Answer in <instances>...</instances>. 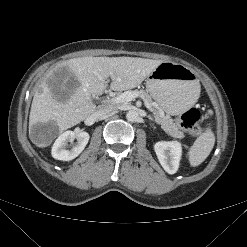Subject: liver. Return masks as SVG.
<instances>
[{
	"mask_svg": "<svg viewBox=\"0 0 247 247\" xmlns=\"http://www.w3.org/2000/svg\"><path fill=\"white\" fill-rule=\"evenodd\" d=\"M160 60L138 57H79L63 62L48 72L35 92L30 115V129L37 123L54 122L59 132L71 128L93 114L97 107L91 96L101 95L111 79L110 89H133L160 64ZM66 67L78 81L66 101L54 97L47 81L58 69ZM31 140L38 147L47 144Z\"/></svg>",
	"mask_w": 247,
	"mask_h": 247,
	"instance_id": "obj_1",
	"label": "liver"
}]
</instances>
